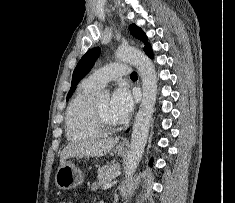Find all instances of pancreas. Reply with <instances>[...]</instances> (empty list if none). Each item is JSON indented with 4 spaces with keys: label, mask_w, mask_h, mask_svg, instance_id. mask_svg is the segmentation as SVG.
I'll return each instance as SVG.
<instances>
[{
    "label": "pancreas",
    "mask_w": 235,
    "mask_h": 203,
    "mask_svg": "<svg viewBox=\"0 0 235 203\" xmlns=\"http://www.w3.org/2000/svg\"><path fill=\"white\" fill-rule=\"evenodd\" d=\"M120 165H112V166H103L102 168H99L97 171L98 174V184L104 185L109 183L119 172Z\"/></svg>",
    "instance_id": "1"
}]
</instances>
